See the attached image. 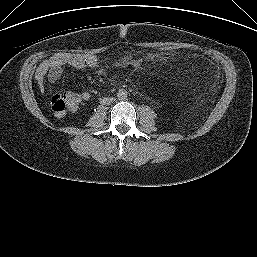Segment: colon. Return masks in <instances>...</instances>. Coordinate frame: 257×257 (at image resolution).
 <instances>
[{
  "instance_id": "colon-1",
  "label": "colon",
  "mask_w": 257,
  "mask_h": 257,
  "mask_svg": "<svg viewBox=\"0 0 257 257\" xmlns=\"http://www.w3.org/2000/svg\"><path fill=\"white\" fill-rule=\"evenodd\" d=\"M160 51L163 55H169L173 52V48L171 46H163ZM80 100V96L75 93H54L50 98V105L52 110L61 116L74 113L79 107Z\"/></svg>"
}]
</instances>
